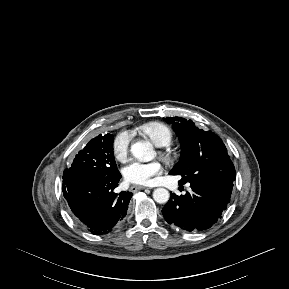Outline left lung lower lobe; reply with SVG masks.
<instances>
[{
    "instance_id": "0a47b994",
    "label": "left lung lower lobe",
    "mask_w": 289,
    "mask_h": 289,
    "mask_svg": "<svg viewBox=\"0 0 289 289\" xmlns=\"http://www.w3.org/2000/svg\"><path fill=\"white\" fill-rule=\"evenodd\" d=\"M190 187L191 193L171 195L162 209L163 216L169 224L189 232L208 229L221 218L231 193L201 184H190Z\"/></svg>"
}]
</instances>
